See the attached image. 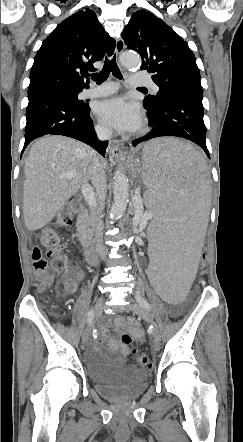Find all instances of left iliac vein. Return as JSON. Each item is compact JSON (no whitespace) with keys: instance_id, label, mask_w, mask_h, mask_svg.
Here are the masks:
<instances>
[{"instance_id":"obj_1","label":"left iliac vein","mask_w":243,"mask_h":442,"mask_svg":"<svg viewBox=\"0 0 243 442\" xmlns=\"http://www.w3.org/2000/svg\"><path fill=\"white\" fill-rule=\"evenodd\" d=\"M130 306H131L132 311L137 316L142 318L149 325L153 326V329H152V337H153L152 347L155 350L159 349V347H160V339H161L160 330L157 327V325L154 322V320L151 317V315L149 314V312L144 307H142L137 301H131V305Z\"/></svg>"}]
</instances>
